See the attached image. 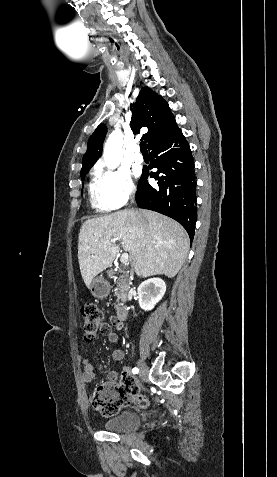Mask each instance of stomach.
I'll list each match as a JSON object with an SVG mask.
<instances>
[{
    "label": "stomach",
    "instance_id": "0dacf381",
    "mask_svg": "<svg viewBox=\"0 0 277 477\" xmlns=\"http://www.w3.org/2000/svg\"><path fill=\"white\" fill-rule=\"evenodd\" d=\"M110 284L104 279L103 276L96 277L92 280L90 290L94 297L105 298L110 293Z\"/></svg>",
    "mask_w": 277,
    "mask_h": 477
}]
</instances>
